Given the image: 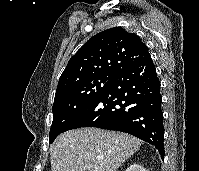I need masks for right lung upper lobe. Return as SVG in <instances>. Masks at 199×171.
I'll return each mask as SVG.
<instances>
[{
    "instance_id": "obj_1",
    "label": "right lung upper lobe",
    "mask_w": 199,
    "mask_h": 171,
    "mask_svg": "<svg viewBox=\"0 0 199 171\" xmlns=\"http://www.w3.org/2000/svg\"><path fill=\"white\" fill-rule=\"evenodd\" d=\"M150 57L134 33L114 27L91 37L69 60L61 74L55 99L98 76H117L124 69Z\"/></svg>"
}]
</instances>
